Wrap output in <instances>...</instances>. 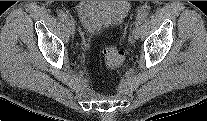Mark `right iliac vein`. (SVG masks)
Wrapping results in <instances>:
<instances>
[{
  "label": "right iliac vein",
  "mask_w": 207,
  "mask_h": 121,
  "mask_svg": "<svg viewBox=\"0 0 207 121\" xmlns=\"http://www.w3.org/2000/svg\"><path fill=\"white\" fill-rule=\"evenodd\" d=\"M66 25L68 27L70 34L74 35L75 34V24H74L73 20L66 19Z\"/></svg>",
  "instance_id": "right-iliac-vein-1"
}]
</instances>
